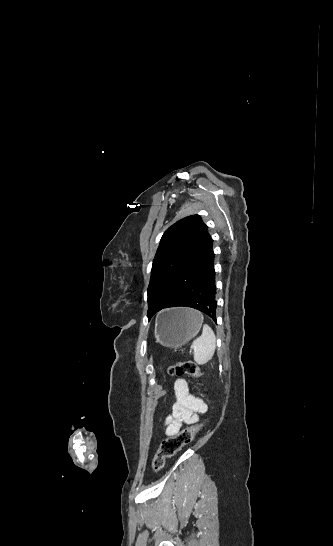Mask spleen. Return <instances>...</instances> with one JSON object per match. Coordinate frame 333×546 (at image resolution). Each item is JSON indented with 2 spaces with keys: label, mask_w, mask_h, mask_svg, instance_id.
<instances>
[{
  "label": "spleen",
  "mask_w": 333,
  "mask_h": 546,
  "mask_svg": "<svg viewBox=\"0 0 333 546\" xmlns=\"http://www.w3.org/2000/svg\"><path fill=\"white\" fill-rule=\"evenodd\" d=\"M199 314L203 318L200 312ZM191 349L194 351V361L196 364L202 365L211 360L216 349V336L209 325L205 324L203 326L201 336L193 341Z\"/></svg>",
  "instance_id": "obj_1"
}]
</instances>
